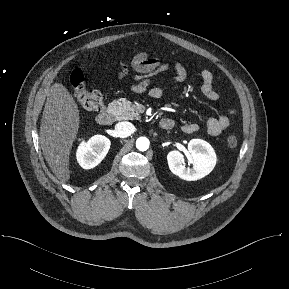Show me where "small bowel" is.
Wrapping results in <instances>:
<instances>
[{
  "label": "small bowel",
  "instance_id": "obj_1",
  "mask_svg": "<svg viewBox=\"0 0 289 289\" xmlns=\"http://www.w3.org/2000/svg\"><path fill=\"white\" fill-rule=\"evenodd\" d=\"M132 69L139 74L136 77L137 83L133 85L132 90L137 93H142L147 90L152 76L166 72L169 68L167 64L161 63L158 59L149 57L146 52H140L131 59ZM128 73V66L121 58L120 71L118 78L123 79ZM187 69L182 63H176L174 66V74L171 79L175 82H183L187 78ZM201 92L205 98L211 101L219 99L220 94L214 88V75L209 70H203L200 73ZM152 98L158 99L162 96L163 90L160 87H152L148 91ZM236 110L230 109L227 115L209 118L206 122V131L211 136L219 135L230 124V117L235 115ZM182 130L185 133L191 134L199 130V126L195 123H185L182 125Z\"/></svg>",
  "mask_w": 289,
  "mask_h": 289
}]
</instances>
